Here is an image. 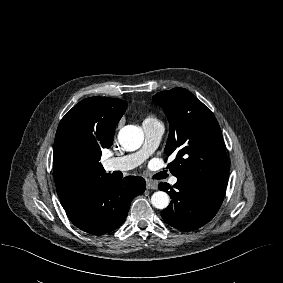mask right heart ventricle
<instances>
[{
  "label": "right heart ventricle",
  "instance_id": "e07e8e85",
  "mask_svg": "<svg viewBox=\"0 0 283 283\" xmlns=\"http://www.w3.org/2000/svg\"><path fill=\"white\" fill-rule=\"evenodd\" d=\"M156 119L154 117H147L144 121H155Z\"/></svg>",
  "mask_w": 283,
  "mask_h": 283
}]
</instances>
